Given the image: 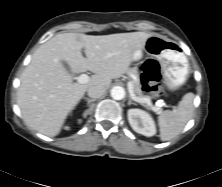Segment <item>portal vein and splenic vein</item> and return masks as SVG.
<instances>
[{"label":"portal vein and splenic vein","instance_id":"portal-vein-and-splenic-vein-1","mask_svg":"<svg viewBox=\"0 0 222 187\" xmlns=\"http://www.w3.org/2000/svg\"><path fill=\"white\" fill-rule=\"evenodd\" d=\"M78 83L80 84H85L89 81V76L87 74H81L79 77H78ZM128 91H129V94H130V97L136 101V102H139V103H146L148 106L152 107V109H155V110H159L163 104H160L158 105L159 107H155L152 105L151 103V100L150 99H146V98H138L135 94H134V91H133V84L132 82H128Z\"/></svg>","mask_w":222,"mask_h":187}]
</instances>
